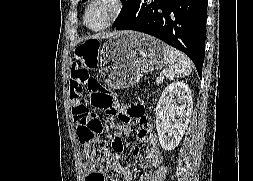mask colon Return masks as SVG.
Returning <instances> with one entry per match:
<instances>
[{"label": "colon", "instance_id": "5ec220e1", "mask_svg": "<svg viewBox=\"0 0 253 181\" xmlns=\"http://www.w3.org/2000/svg\"><path fill=\"white\" fill-rule=\"evenodd\" d=\"M101 41L88 38L82 41L73 56L75 61L94 62L98 60ZM74 117L77 136L84 146L88 164L91 167H102L107 161V146L102 138L104 125L100 113L113 115L115 113L116 96L106 91L97 79H90L87 91L74 99Z\"/></svg>", "mask_w": 253, "mask_h": 181}]
</instances>
